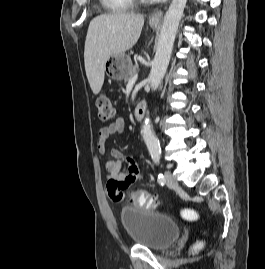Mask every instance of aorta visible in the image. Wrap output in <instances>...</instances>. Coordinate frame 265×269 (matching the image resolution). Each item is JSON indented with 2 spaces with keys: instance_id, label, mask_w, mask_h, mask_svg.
Here are the masks:
<instances>
[{
  "instance_id": "1",
  "label": "aorta",
  "mask_w": 265,
  "mask_h": 269,
  "mask_svg": "<svg viewBox=\"0 0 265 269\" xmlns=\"http://www.w3.org/2000/svg\"><path fill=\"white\" fill-rule=\"evenodd\" d=\"M186 2L187 0H172L165 14L157 43L156 54L148 78L151 88L154 91L158 88L165 76ZM141 132L151 157L153 159L159 158L161 147L159 140L153 133L149 118H145Z\"/></svg>"
}]
</instances>
